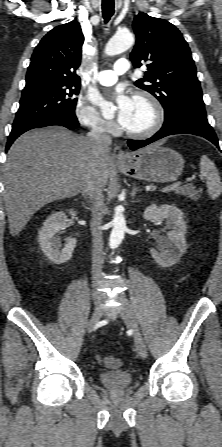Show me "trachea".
Segmentation results:
<instances>
[{
  "label": "trachea",
  "instance_id": "trachea-1",
  "mask_svg": "<svg viewBox=\"0 0 222 447\" xmlns=\"http://www.w3.org/2000/svg\"><path fill=\"white\" fill-rule=\"evenodd\" d=\"M102 13L107 23L114 14V0H102Z\"/></svg>",
  "mask_w": 222,
  "mask_h": 447
}]
</instances>
